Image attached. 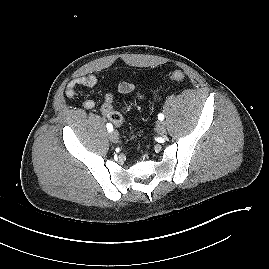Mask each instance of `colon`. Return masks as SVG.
<instances>
[{
	"instance_id": "1",
	"label": "colon",
	"mask_w": 269,
	"mask_h": 269,
	"mask_svg": "<svg viewBox=\"0 0 269 269\" xmlns=\"http://www.w3.org/2000/svg\"><path fill=\"white\" fill-rule=\"evenodd\" d=\"M169 76L173 81H176V82L183 81L185 77L184 73L180 70H174L170 72ZM112 104H113V96L111 94H107L105 96V100L103 104L104 110L106 112V117L114 124L120 125L123 122V117L119 112L114 110Z\"/></svg>"
}]
</instances>
